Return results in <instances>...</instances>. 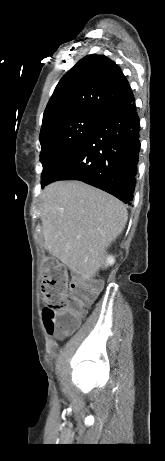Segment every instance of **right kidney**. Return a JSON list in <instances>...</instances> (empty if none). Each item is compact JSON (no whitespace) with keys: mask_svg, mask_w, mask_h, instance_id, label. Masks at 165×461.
I'll return each mask as SVG.
<instances>
[{"mask_svg":"<svg viewBox=\"0 0 165 461\" xmlns=\"http://www.w3.org/2000/svg\"><path fill=\"white\" fill-rule=\"evenodd\" d=\"M115 263V259L113 256H108L107 260H106V266L108 265H113Z\"/></svg>","mask_w":165,"mask_h":461,"instance_id":"right-kidney-1","label":"right kidney"}]
</instances>
